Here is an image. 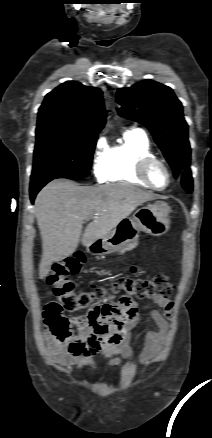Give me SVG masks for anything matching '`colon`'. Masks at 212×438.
<instances>
[{"label":"colon","mask_w":212,"mask_h":438,"mask_svg":"<svg viewBox=\"0 0 212 438\" xmlns=\"http://www.w3.org/2000/svg\"><path fill=\"white\" fill-rule=\"evenodd\" d=\"M84 265V257L76 253L53 266L47 281L52 286L57 300L49 302L44 311L45 323L58 336L68 334L69 320L65 313L88 308L104 294V289L95 287L90 291L76 293L70 276L79 273ZM174 289L167 275H157L152 279L122 278L112 285L114 293L124 297L139 299L168 298Z\"/></svg>","instance_id":"1"}]
</instances>
